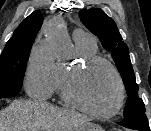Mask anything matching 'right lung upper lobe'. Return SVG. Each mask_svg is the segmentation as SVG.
<instances>
[{
	"mask_svg": "<svg viewBox=\"0 0 151 131\" xmlns=\"http://www.w3.org/2000/svg\"><path fill=\"white\" fill-rule=\"evenodd\" d=\"M43 16L40 11H34L16 28L5 48L32 45L42 25Z\"/></svg>",
	"mask_w": 151,
	"mask_h": 131,
	"instance_id": "right-lung-upper-lobe-1",
	"label": "right lung upper lobe"
}]
</instances>
